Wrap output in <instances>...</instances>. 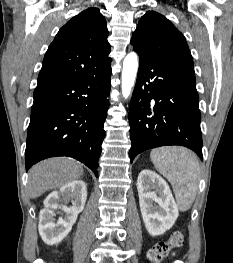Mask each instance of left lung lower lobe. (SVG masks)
<instances>
[{
  "label": "left lung lower lobe",
  "instance_id": "left-lung-lower-lobe-1",
  "mask_svg": "<svg viewBox=\"0 0 233 263\" xmlns=\"http://www.w3.org/2000/svg\"><path fill=\"white\" fill-rule=\"evenodd\" d=\"M140 56L130 111V160L147 149L181 145L202 158L194 66Z\"/></svg>",
  "mask_w": 233,
  "mask_h": 263
}]
</instances>
